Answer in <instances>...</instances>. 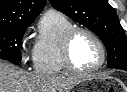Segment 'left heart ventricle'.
I'll return each instance as SVG.
<instances>
[{"instance_id":"left-heart-ventricle-1","label":"left heart ventricle","mask_w":127,"mask_h":92,"mask_svg":"<svg viewBox=\"0 0 127 92\" xmlns=\"http://www.w3.org/2000/svg\"><path fill=\"white\" fill-rule=\"evenodd\" d=\"M71 56L76 67L89 69L95 67L101 59L96 42L86 33H79L73 40Z\"/></svg>"}]
</instances>
